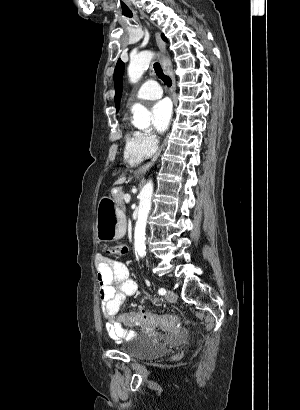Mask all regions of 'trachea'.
<instances>
[{"label":"trachea","instance_id":"trachea-1","mask_svg":"<svg viewBox=\"0 0 300 410\" xmlns=\"http://www.w3.org/2000/svg\"><path fill=\"white\" fill-rule=\"evenodd\" d=\"M154 70L158 77L164 82V84H166L168 87L172 85V80L169 76L163 73V70L158 62L154 63Z\"/></svg>","mask_w":300,"mask_h":410}]
</instances>
